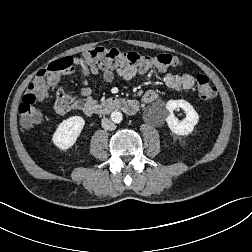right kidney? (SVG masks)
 <instances>
[{"label":"right kidney","instance_id":"right-kidney-1","mask_svg":"<svg viewBox=\"0 0 252 252\" xmlns=\"http://www.w3.org/2000/svg\"><path fill=\"white\" fill-rule=\"evenodd\" d=\"M84 125L85 120L81 116H72L63 120L53 134L52 141L54 145L61 150H67L72 147Z\"/></svg>","mask_w":252,"mask_h":252}]
</instances>
